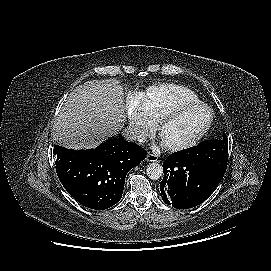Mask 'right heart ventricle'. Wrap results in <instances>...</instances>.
<instances>
[{"label": "right heart ventricle", "instance_id": "1", "mask_svg": "<svg viewBox=\"0 0 271 271\" xmlns=\"http://www.w3.org/2000/svg\"><path fill=\"white\" fill-rule=\"evenodd\" d=\"M144 97L145 107L153 122L166 110L183 103L199 101L191 89L173 83L152 85L144 92Z\"/></svg>", "mask_w": 271, "mask_h": 271}]
</instances>
